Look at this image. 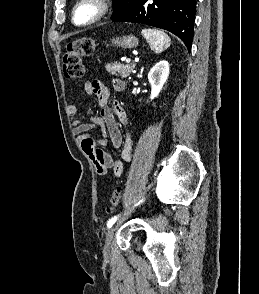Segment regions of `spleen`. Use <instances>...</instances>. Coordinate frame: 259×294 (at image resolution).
Listing matches in <instances>:
<instances>
[{
    "instance_id": "obj_1",
    "label": "spleen",
    "mask_w": 259,
    "mask_h": 294,
    "mask_svg": "<svg viewBox=\"0 0 259 294\" xmlns=\"http://www.w3.org/2000/svg\"><path fill=\"white\" fill-rule=\"evenodd\" d=\"M141 33L155 53H161L171 44L170 37L164 31L157 29H143Z\"/></svg>"
}]
</instances>
